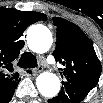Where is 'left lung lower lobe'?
Listing matches in <instances>:
<instances>
[{"instance_id": "left-lung-lower-lobe-1", "label": "left lung lower lobe", "mask_w": 103, "mask_h": 103, "mask_svg": "<svg viewBox=\"0 0 103 103\" xmlns=\"http://www.w3.org/2000/svg\"><path fill=\"white\" fill-rule=\"evenodd\" d=\"M58 96L48 100L49 103H80L91 89L66 83Z\"/></svg>"}]
</instances>
